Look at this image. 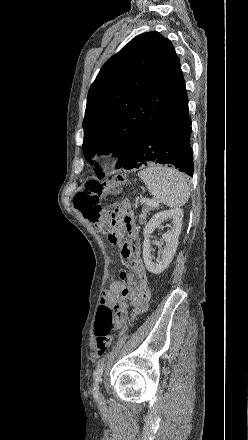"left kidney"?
<instances>
[{
	"mask_svg": "<svg viewBox=\"0 0 248 440\" xmlns=\"http://www.w3.org/2000/svg\"><path fill=\"white\" fill-rule=\"evenodd\" d=\"M172 220L171 231L163 234L162 238L166 245L160 252L161 258L154 262L151 253L150 237L156 228H160L162 222ZM183 210L180 208L169 209L156 213L144 228L143 259L147 270L152 274L163 272L171 263L178 246V239L182 229Z\"/></svg>",
	"mask_w": 248,
	"mask_h": 440,
	"instance_id": "5707ae66",
	"label": "left kidney"
}]
</instances>
